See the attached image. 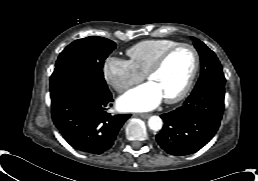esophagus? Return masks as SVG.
<instances>
[{
	"label": "esophagus",
	"mask_w": 258,
	"mask_h": 181,
	"mask_svg": "<svg viewBox=\"0 0 258 181\" xmlns=\"http://www.w3.org/2000/svg\"><path fill=\"white\" fill-rule=\"evenodd\" d=\"M139 116H140L141 118L147 119V118H149V117H150V114H148V113H145V114H139Z\"/></svg>",
	"instance_id": "esophagus-1"
}]
</instances>
